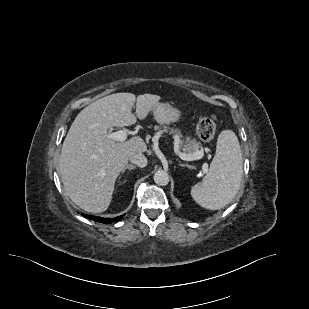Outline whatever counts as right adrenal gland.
Returning <instances> with one entry per match:
<instances>
[{
    "instance_id": "1",
    "label": "right adrenal gland",
    "mask_w": 309,
    "mask_h": 309,
    "mask_svg": "<svg viewBox=\"0 0 309 309\" xmlns=\"http://www.w3.org/2000/svg\"><path fill=\"white\" fill-rule=\"evenodd\" d=\"M135 168H136L135 165L128 164V165H126V166L123 168L122 173H124L126 170L131 171V170H133V169H135Z\"/></svg>"
}]
</instances>
